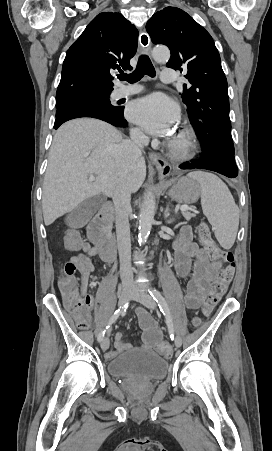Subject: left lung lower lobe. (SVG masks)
Segmentation results:
<instances>
[{
  "label": "left lung lower lobe",
  "mask_w": 272,
  "mask_h": 451,
  "mask_svg": "<svg viewBox=\"0 0 272 451\" xmlns=\"http://www.w3.org/2000/svg\"><path fill=\"white\" fill-rule=\"evenodd\" d=\"M180 168L212 170L229 178H235L238 174V168L235 161L215 153H203V157L199 161L186 163L181 165Z\"/></svg>",
  "instance_id": "obj_1"
}]
</instances>
